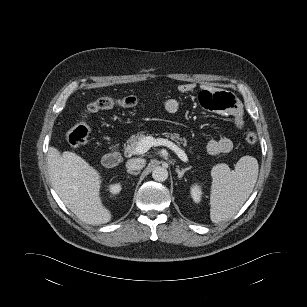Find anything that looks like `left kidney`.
Instances as JSON below:
<instances>
[{
    "label": "left kidney",
    "instance_id": "1",
    "mask_svg": "<svg viewBox=\"0 0 307 307\" xmlns=\"http://www.w3.org/2000/svg\"><path fill=\"white\" fill-rule=\"evenodd\" d=\"M201 188L200 186L198 185H194L192 188H191V196L193 198V200L198 203L201 199Z\"/></svg>",
    "mask_w": 307,
    "mask_h": 307
}]
</instances>
